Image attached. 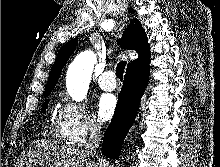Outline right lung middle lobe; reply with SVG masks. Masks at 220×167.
<instances>
[{"mask_svg":"<svg viewBox=\"0 0 220 167\" xmlns=\"http://www.w3.org/2000/svg\"><path fill=\"white\" fill-rule=\"evenodd\" d=\"M47 105H48V101H46V102L43 104V106H42V112H43V113L46 111Z\"/></svg>","mask_w":220,"mask_h":167,"instance_id":"dd1d6c3e","label":"right lung middle lobe"}]
</instances>
